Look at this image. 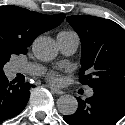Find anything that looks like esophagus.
Returning <instances> with one entry per match:
<instances>
[{
    "mask_svg": "<svg viewBox=\"0 0 125 125\" xmlns=\"http://www.w3.org/2000/svg\"><path fill=\"white\" fill-rule=\"evenodd\" d=\"M49 88L51 89V91H52L53 93H55V94H57V95H62V94H64V92H63L62 90H60V89L54 88V87H52V86H49Z\"/></svg>",
    "mask_w": 125,
    "mask_h": 125,
    "instance_id": "34e87169",
    "label": "esophagus"
}]
</instances>
